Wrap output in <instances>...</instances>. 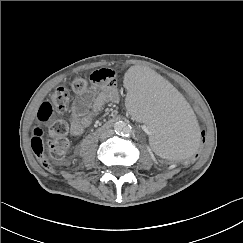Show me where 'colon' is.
<instances>
[{
    "label": "colon",
    "instance_id": "obj_1",
    "mask_svg": "<svg viewBox=\"0 0 243 243\" xmlns=\"http://www.w3.org/2000/svg\"><path fill=\"white\" fill-rule=\"evenodd\" d=\"M115 79L114 72L107 68L94 71L90 80L92 83L97 84H111ZM88 88V81L83 77H76L71 82V89L75 93H82ZM70 100V92L66 88H59L53 92L50 99L45 101L38 112V119L41 121H48L55 110L61 111L65 109ZM51 137L48 140L47 148L49 156L46 154L44 131L41 127H35L31 139V147L38 158L42 167L48 171H52L54 168L53 160L62 159L68 148L69 140L67 138L68 125L64 121H54L50 123ZM210 130L207 127L202 128L200 143L190 156L181 157L179 160L173 161L172 159L162 158L160 163L166 166L175 167H190L195 161L207 150L209 145Z\"/></svg>",
    "mask_w": 243,
    "mask_h": 243
}]
</instances>
